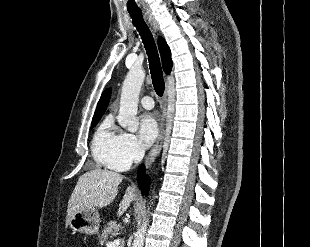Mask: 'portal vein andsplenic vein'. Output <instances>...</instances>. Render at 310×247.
I'll return each instance as SVG.
<instances>
[{"label":"portal vein and splenic vein","mask_w":310,"mask_h":247,"mask_svg":"<svg viewBox=\"0 0 310 247\" xmlns=\"http://www.w3.org/2000/svg\"><path fill=\"white\" fill-rule=\"evenodd\" d=\"M121 243V240L120 239H116L114 241H111V242H108L106 244L107 247H118Z\"/></svg>","instance_id":"obj_1"}]
</instances>
